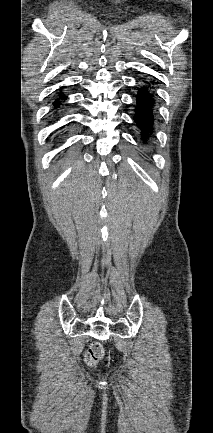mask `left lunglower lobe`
<instances>
[{
	"mask_svg": "<svg viewBox=\"0 0 213 433\" xmlns=\"http://www.w3.org/2000/svg\"><path fill=\"white\" fill-rule=\"evenodd\" d=\"M153 103V94L149 92L148 87L143 86L139 88L138 94L136 95V113L134 115V121L141 130L143 142H146L149 138V134L152 133L154 122V113L152 111Z\"/></svg>",
	"mask_w": 213,
	"mask_h": 433,
	"instance_id": "1",
	"label": "left lung lower lobe"
}]
</instances>
